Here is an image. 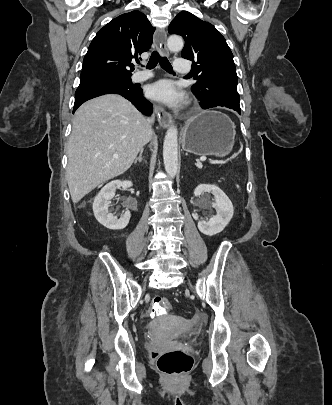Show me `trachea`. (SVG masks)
Listing matches in <instances>:
<instances>
[{
  "label": "trachea",
  "mask_w": 332,
  "mask_h": 405,
  "mask_svg": "<svg viewBox=\"0 0 332 405\" xmlns=\"http://www.w3.org/2000/svg\"><path fill=\"white\" fill-rule=\"evenodd\" d=\"M158 62L164 70H166L167 72H170V73L173 72V68H172L170 62L168 61V59L166 57H161L157 51L152 52L149 62L147 64V68L148 69L155 68L156 65L158 64Z\"/></svg>",
  "instance_id": "3493384b"
}]
</instances>
